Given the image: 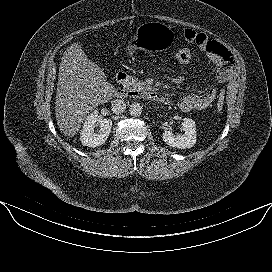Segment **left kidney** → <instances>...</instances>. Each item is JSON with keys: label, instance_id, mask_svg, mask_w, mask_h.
I'll return each mask as SVG.
<instances>
[{"label": "left kidney", "instance_id": "5707ae66", "mask_svg": "<svg viewBox=\"0 0 272 272\" xmlns=\"http://www.w3.org/2000/svg\"><path fill=\"white\" fill-rule=\"evenodd\" d=\"M182 130L184 131V134L177 136L170 130L164 131L162 134L164 142L173 148L185 149L193 147L196 143L195 121L190 118H184Z\"/></svg>", "mask_w": 272, "mask_h": 272}]
</instances>
